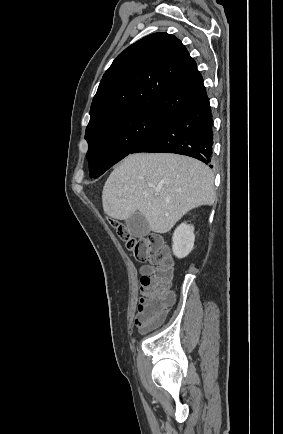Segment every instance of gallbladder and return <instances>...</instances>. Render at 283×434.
<instances>
[{
    "mask_svg": "<svg viewBox=\"0 0 283 434\" xmlns=\"http://www.w3.org/2000/svg\"><path fill=\"white\" fill-rule=\"evenodd\" d=\"M126 229L134 237L142 238L150 233V226L146 218L139 212L126 220Z\"/></svg>",
    "mask_w": 283,
    "mask_h": 434,
    "instance_id": "gallbladder-1",
    "label": "gallbladder"
}]
</instances>
